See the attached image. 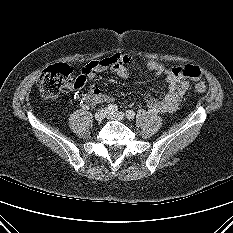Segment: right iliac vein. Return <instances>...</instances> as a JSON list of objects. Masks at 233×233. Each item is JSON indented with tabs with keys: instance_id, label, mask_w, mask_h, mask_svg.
I'll return each mask as SVG.
<instances>
[{
	"instance_id": "1",
	"label": "right iliac vein",
	"mask_w": 233,
	"mask_h": 233,
	"mask_svg": "<svg viewBox=\"0 0 233 233\" xmlns=\"http://www.w3.org/2000/svg\"><path fill=\"white\" fill-rule=\"evenodd\" d=\"M108 111L104 108L99 109L96 113H95V119L97 121H102L105 117H107Z\"/></svg>"
}]
</instances>
